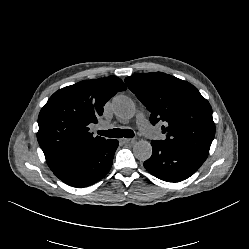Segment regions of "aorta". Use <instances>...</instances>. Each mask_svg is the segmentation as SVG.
<instances>
[{
	"label": "aorta",
	"instance_id": "obj_1",
	"mask_svg": "<svg viewBox=\"0 0 249 249\" xmlns=\"http://www.w3.org/2000/svg\"><path fill=\"white\" fill-rule=\"evenodd\" d=\"M112 107L115 115L120 119H130L136 113V107L133 101L125 95L115 96L112 100ZM133 153L135 158L139 161H146L152 155V146L150 142L140 140L135 143Z\"/></svg>",
	"mask_w": 249,
	"mask_h": 249
}]
</instances>
